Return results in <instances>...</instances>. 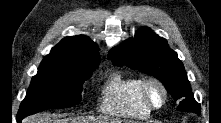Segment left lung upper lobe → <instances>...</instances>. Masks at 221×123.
I'll list each match as a JSON object with an SVG mask.
<instances>
[{
    "label": "left lung upper lobe",
    "instance_id": "5c2ea615",
    "mask_svg": "<svg viewBox=\"0 0 221 123\" xmlns=\"http://www.w3.org/2000/svg\"><path fill=\"white\" fill-rule=\"evenodd\" d=\"M114 65H126L161 80L175 100L180 99L178 110L199 114L183 63L168 46L166 39L150 28H141L134 38L124 41L108 54Z\"/></svg>",
    "mask_w": 221,
    "mask_h": 123
}]
</instances>
